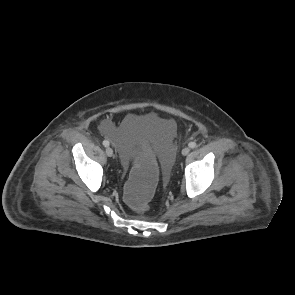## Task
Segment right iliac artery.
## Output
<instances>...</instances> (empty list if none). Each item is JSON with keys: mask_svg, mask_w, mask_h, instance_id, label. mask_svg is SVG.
<instances>
[{"mask_svg": "<svg viewBox=\"0 0 295 295\" xmlns=\"http://www.w3.org/2000/svg\"><path fill=\"white\" fill-rule=\"evenodd\" d=\"M103 145H104L105 147L109 146V141L104 140V141H103Z\"/></svg>", "mask_w": 295, "mask_h": 295, "instance_id": "obj_1", "label": "right iliac artery"}]
</instances>
